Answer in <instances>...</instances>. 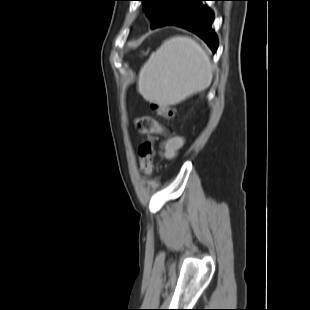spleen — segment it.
Segmentation results:
<instances>
[{
    "label": "spleen",
    "instance_id": "3e777b00",
    "mask_svg": "<svg viewBox=\"0 0 310 310\" xmlns=\"http://www.w3.org/2000/svg\"><path fill=\"white\" fill-rule=\"evenodd\" d=\"M213 79L210 58L191 37L166 40L144 64L138 92L148 101L175 105L209 87Z\"/></svg>",
    "mask_w": 310,
    "mask_h": 310
}]
</instances>
